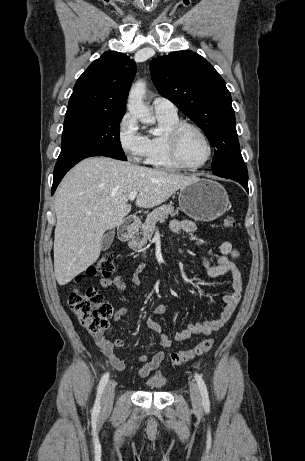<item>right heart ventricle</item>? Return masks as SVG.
Instances as JSON below:
<instances>
[{"label": "right heart ventricle", "mask_w": 305, "mask_h": 461, "mask_svg": "<svg viewBox=\"0 0 305 461\" xmlns=\"http://www.w3.org/2000/svg\"><path fill=\"white\" fill-rule=\"evenodd\" d=\"M158 124L143 136L142 161L144 164L177 171L180 167L171 159L167 148L169 130L181 120L176 114L156 113Z\"/></svg>", "instance_id": "1"}]
</instances>
